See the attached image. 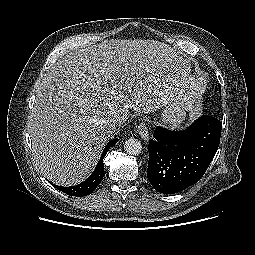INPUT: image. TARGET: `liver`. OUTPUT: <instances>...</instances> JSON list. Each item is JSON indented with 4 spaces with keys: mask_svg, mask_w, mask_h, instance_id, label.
<instances>
[{
    "mask_svg": "<svg viewBox=\"0 0 255 255\" xmlns=\"http://www.w3.org/2000/svg\"><path fill=\"white\" fill-rule=\"evenodd\" d=\"M201 79L175 48L154 40H105L70 51L42 79L30 119L34 161L51 182L72 186L94 169L123 123L179 102L197 114Z\"/></svg>",
    "mask_w": 255,
    "mask_h": 255,
    "instance_id": "6515ba94",
    "label": "liver"
}]
</instances>
